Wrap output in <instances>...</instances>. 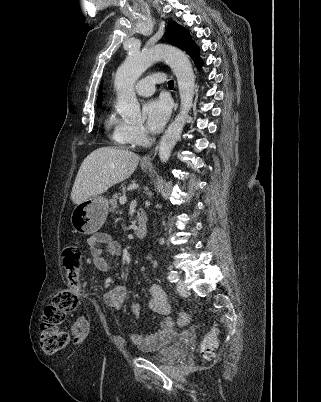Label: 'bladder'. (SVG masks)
<instances>
[{"label":"bladder","instance_id":"1","mask_svg":"<svg viewBox=\"0 0 321 402\" xmlns=\"http://www.w3.org/2000/svg\"><path fill=\"white\" fill-rule=\"evenodd\" d=\"M142 355L151 360H155L164 364H172L177 359L176 354L173 351L171 343L162 345L154 353H142Z\"/></svg>","mask_w":321,"mask_h":402}]
</instances>
